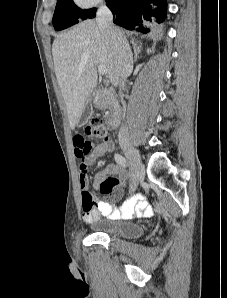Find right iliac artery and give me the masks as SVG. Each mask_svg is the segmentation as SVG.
Instances as JSON below:
<instances>
[{
  "label": "right iliac artery",
  "mask_w": 227,
  "mask_h": 298,
  "mask_svg": "<svg viewBox=\"0 0 227 298\" xmlns=\"http://www.w3.org/2000/svg\"><path fill=\"white\" fill-rule=\"evenodd\" d=\"M115 161L122 167H127L128 163L127 160L120 154H115L114 156Z\"/></svg>",
  "instance_id": "82829eb1"
}]
</instances>
